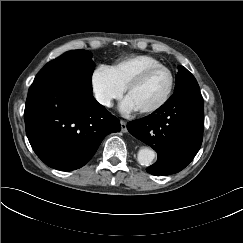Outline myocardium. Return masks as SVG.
<instances>
[{
	"mask_svg": "<svg viewBox=\"0 0 243 243\" xmlns=\"http://www.w3.org/2000/svg\"><path fill=\"white\" fill-rule=\"evenodd\" d=\"M158 69H163L165 70L170 78L169 81V86L168 89L165 93V95L163 96V98L157 102L156 104L148 107V108H144V109H139L137 110L138 113L140 114H152L156 111H158L160 108H162L171 98L173 90H174V86H175V78H174V74L172 73V71L165 65L163 64H158V65H154V66H150L148 68H145L144 70H142L141 72H139L126 86L125 90V98H127L128 94L135 89L137 86H139L142 81L146 78L147 75H149L151 72H153L154 70H158Z\"/></svg>",
	"mask_w": 243,
	"mask_h": 243,
	"instance_id": "obj_1",
	"label": "myocardium"
}]
</instances>
